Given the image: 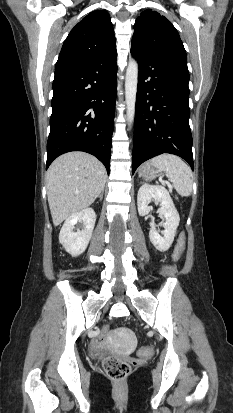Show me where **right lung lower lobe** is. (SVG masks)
<instances>
[{
  "mask_svg": "<svg viewBox=\"0 0 233 413\" xmlns=\"http://www.w3.org/2000/svg\"><path fill=\"white\" fill-rule=\"evenodd\" d=\"M117 53L55 71L47 166L59 155L84 151L109 174L114 126Z\"/></svg>",
  "mask_w": 233,
  "mask_h": 413,
  "instance_id": "right-lung-lower-lobe-1",
  "label": "right lung lower lobe"
}]
</instances>
